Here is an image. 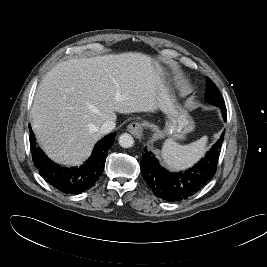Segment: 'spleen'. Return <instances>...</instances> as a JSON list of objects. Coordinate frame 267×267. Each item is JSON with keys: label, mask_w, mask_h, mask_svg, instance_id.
<instances>
[{"label": "spleen", "mask_w": 267, "mask_h": 267, "mask_svg": "<svg viewBox=\"0 0 267 267\" xmlns=\"http://www.w3.org/2000/svg\"><path fill=\"white\" fill-rule=\"evenodd\" d=\"M208 137L187 145H180L173 139L167 140L162 147V158L165 165L172 171H179L191 167L204 154Z\"/></svg>", "instance_id": "spleen-1"}]
</instances>
